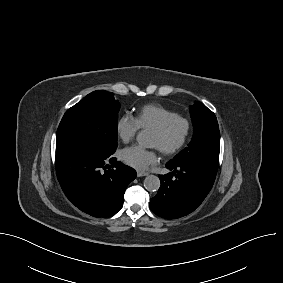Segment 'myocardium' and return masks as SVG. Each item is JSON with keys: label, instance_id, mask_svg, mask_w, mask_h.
Masks as SVG:
<instances>
[{"label": "myocardium", "instance_id": "1", "mask_svg": "<svg viewBox=\"0 0 283 283\" xmlns=\"http://www.w3.org/2000/svg\"><path fill=\"white\" fill-rule=\"evenodd\" d=\"M176 123H182L183 124L184 132H183V135H182L180 141L177 144H175L174 146H172L170 148L161 150V152L163 154L167 155V156L177 154L186 145V143L189 139L190 133H191V122H190V120L185 116L177 114V115H174L172 117H169L160 126L153 129V132L157 133L158 135L165 136L169 132L171 127Z\"/></svg>", "mask_w": 283, "mask_h": 283}]
</instances>
